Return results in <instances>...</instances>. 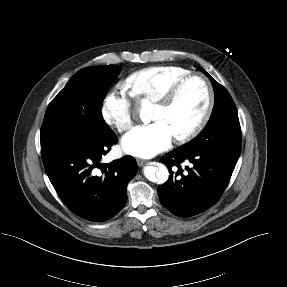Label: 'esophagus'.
Segmentation results:
<instances>
[{"mask_svg":"<svg viewBox=\"0 0 287 287\" xmlns=\"http://www.w3.org/2000/svg\"><path fill=\"white\" fill-rule=\"evenodd\" d=\"M137 164H138V166H144V165L148 164V162L143 160V159H137Z\"/></svg>","mask_w":287,"mask_h":287,"instance_id":"esophagus-1","label":"esophagus"}]
</instances>
